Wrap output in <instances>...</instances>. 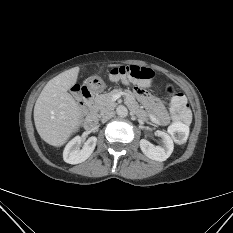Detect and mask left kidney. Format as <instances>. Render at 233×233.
<instances>
[{"mask_svg": "<svg viewBox=\"0 0 233 233\" xmlns=\"http://www.w3.org/2000/svg\"><path fill=\"white\" fill-rule=\"evenodd\" d=\"M156 135L162 139V146H155L149 141L141 139L140 148L148 158L162 162L170 157L174 149V144L171 137L167 133L163 131H157Z\"/></svg>", "mask_w": 233, "mask_h": 233, "instance_id": "left-kidney-1", "label": "left kidney"}]
</instances>
